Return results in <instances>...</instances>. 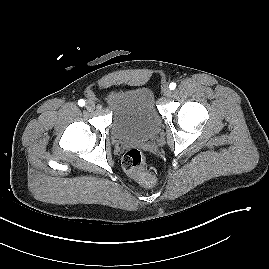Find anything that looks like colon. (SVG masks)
Segmentation results:
<instances>
[{
	"mask_svg": "<svg viewBox=\"0 0 269 269\" xmlns=\"http://www.w3.org/2000/svg\"><path fill=\"white\" fill-rule=\"evenodd\" d=\"M122 165L124 170L133 178L139 180L144 185H152L154 178L145 170L146 157L138 149L128 150L123 157Z\"/></svg>",
	"mask_w": 269,
	"mask_h": 269,
	"instance_id": "5ec220e1",
	"label": "colon"
}]
</instances>
